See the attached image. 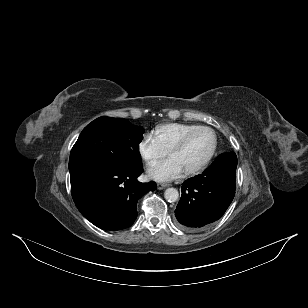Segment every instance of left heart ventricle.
Segmentation results:
<instances>
[{"instance_id":"1","label":"left heart ventricle","mask_w":308,"mask_h":308,"mask_svg":"<svg viewBox=\"0 0 308 308\" xmlns=\"http://www.w3.org/2000/svg\"><path fill=\"white\" fill-rule=\"evenodd\" d=\"M213 146V136L207 130L195 133L186 145L170 154L183 167L184 171L201 164L208 156Z\"/></svg>"}]
</instances>
